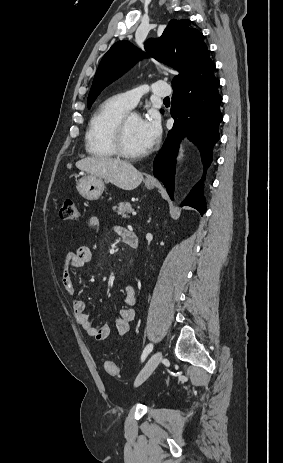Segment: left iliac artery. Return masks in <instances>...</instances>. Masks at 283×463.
<instances>
[{
	"mask_svg": "<svg viewBox=\"0 0 283 463\" xmlns=\"http://www.w3.org/2000/svg\"><path fill=\"white\" fill-rule=\"evenodd\" d=\"M153 349V345L152 344H148L145 349L143 350V353H142V356H141V361L143 362L146 357L148 356V354L152 351Z\"/></svg>",
	"mask_w": 283,
	"mask_h": 463,
	"instance_id": "44dca946",
	"label": "left iliac artery"
}]
</instances>
